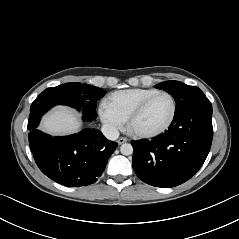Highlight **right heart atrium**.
Instances as JSON below:
<instances>
[{"label": "right heart atrium", "instance_id": "1", "mask_svg": "<svg viewBox=\"0 0 239 239\" xmlns=\"http://www.w3.org/2000/svg\"><path fill=\"white\" fill-rule=\"evenodd\" d=\"M99 114L103 123L110 131L116 132L122 128L124 120L112 111H110L104 104L101 105L99 109Z\"/></svg>", "mask_w": 239, "mask_h": 239}]
</instances>
